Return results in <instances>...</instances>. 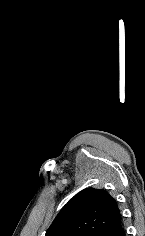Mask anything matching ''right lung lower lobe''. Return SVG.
<instances>
[{"mask_svg":"<svg viewBox=\"0 0 145 236\" xmlns=\"http://www.w3.org/2000/svg\"><path fill=\"white\" fill-rule=\"evenodd\" d=\"M98 236H125V231L121 220L101 232Z\"/></svg>","mask_w":145,"mask_h":236,"instance_id":"obj_1","label":"right lung lower lobe"}]
</instances>
